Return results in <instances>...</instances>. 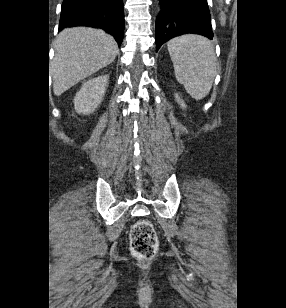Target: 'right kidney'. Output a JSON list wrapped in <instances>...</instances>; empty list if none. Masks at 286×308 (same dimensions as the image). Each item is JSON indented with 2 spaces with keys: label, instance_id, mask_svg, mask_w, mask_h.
Here are the masks:
<instances>
[{
  "label": "right kidney",
  "instance_id": "right-kidney-1",
  "mask_svg": "<svg viewBox=\"0 0 286 308\" xmlns=\"http://www.w3.org/2000/svg\"><path fill=\"white\" fill-rule=\"evenodd\" d=\"M107 82V75L99 76L85 82L74 97L76 112L84 115L94 112L103 100Z\"/></svg>",
  "mask_w": 286,
  "mask_h": 308
}]
</instances>
